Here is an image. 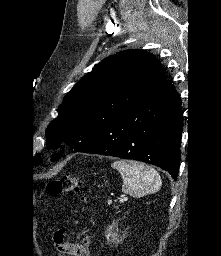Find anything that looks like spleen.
<instances>
[{"instance_id":"spleen-1","label":"spleen","mask_w":221,"mask_h":256,"mask_svg":"<svg viewBox=\"0 0 221 256\" xmlns=\"http://www.w3.org/2000/svg\"><path fill=\"white\" fill-rule=\"evenodd\" d=\"M123 179L122 192L140 198L157 192L162 184L159 173L151 166L137 161L118 160L112 163Z\"/></svg>"}]
</instances>
